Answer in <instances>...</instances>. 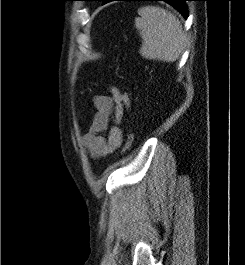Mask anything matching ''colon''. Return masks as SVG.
I'll list each match as a JSON object with an SVG mask.
<instances>
[{"mask_svg": "<svg viewBox=\"0 0 245 265\" xmlns=\"http://www.w3.org/2000/svg\"><path fill=\"white\" fill-rule=\"evenodd\" d=\"M123 103L125 106H130L131 104V96L127 92H123ZM134 141V137L131 133H128L125 137V142L123 146V151H127L131 148Z\"/></svg>", "mask_w": 245, "mask_h": 265, "instance_id": "1", "label": "colon"}]
</instances>
